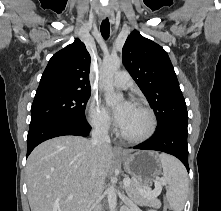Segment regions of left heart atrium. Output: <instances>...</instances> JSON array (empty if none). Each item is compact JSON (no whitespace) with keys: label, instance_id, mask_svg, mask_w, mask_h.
Masks as SVG:
<instances>
[{"label":"left heart atrium","instance_id":"1","mask_svg":"<svg viewBox=\"0 0 221 211\" xmlns=\"http://www.w3.org/2000/svg\"><path fill=\"white\" fill-rule=\"evenodd\" d=\"M132 104L129 101H124L120 106L114 109V119L118 126H121Z\"/></svg>","mask_w":221,"mask_h":211}]
</instances>
